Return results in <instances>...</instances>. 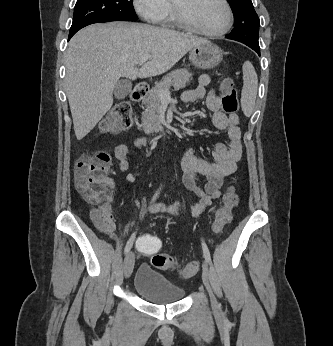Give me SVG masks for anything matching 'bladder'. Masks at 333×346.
Masks as SVG:
<instances>
[{
    "label": "bladder",
    "instance_id": "31cf9c89",
    "mask_svg": "<svg viewBox=\"0 0 333 346\" xmlns=\"http://www.w3.org/2000/svg\"><path fill=\"white\" fill-rule=\"evenodd\" d=\"M134 289L147 301L157 305L176 303L185 295L183 287L173 283L148 264L139 266L134 278Z\"/></svg>",
    "mask_w": 333,
    "mask_h": 346
}]
</instances>
